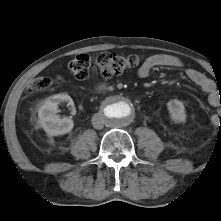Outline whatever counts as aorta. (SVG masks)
<instances>
[{"label":"aorta","instance_id":"762f6f07","mask_svg":"<svg viewBox=\"0 0 221 221\" xmlns=\"http://www.w3.org/2000/svg\"><path fill=\"white\" fill-rule=\"evenodd\" d=\"M134 105L124 97L108 100L103 107L105 122L113 127L128 125L134 117Z\"/></svg>","mask_w":221,"mask_h":221}]
</instances>
